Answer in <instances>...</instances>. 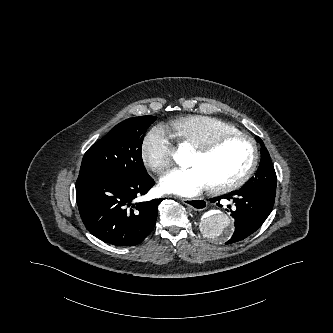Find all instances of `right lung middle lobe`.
Listing matches in <instances>:
<instances>
[{"mask_svg": "<svg viewBox=\"0 0 333 333\" xmlns=\"http://www.w3.org/2000/svg\"><path fill=\"white\" fill-rule=\"evenodd\" d=\"M154 116L122 121L85 153L78 178L117 176L140 179L147 175L141 156L143 138Z\"/></svg>", "mask_w": 333, "mask_h": 333, "instance_id": "right-lung-middle-lobe-1", "label": "right lung middle lobe"}]
</instances>
